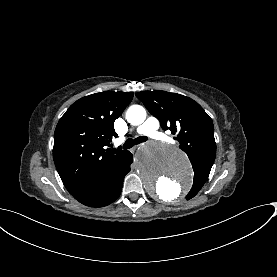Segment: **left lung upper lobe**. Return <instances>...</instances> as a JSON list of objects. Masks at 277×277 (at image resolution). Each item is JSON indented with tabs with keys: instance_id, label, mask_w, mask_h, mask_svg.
<instances>
[{
	"instance_id": "5c2ea615",
	"label": "left lung upper lobe",
	"mask_w": 277,
	"mask_h": 277,
	"mask_svg": "<svg viewBox=\"0 0 277 277\" xmlns=\"http://www.w3.org/2000/svg\"><path fill=\"white\" fill-rule=\"evenodd\" d=\"M148 111L157 117L164 130L178 132L180 143L194 170V181L187 199L193 198L207 180L216 155L212 119L189 97L166 91L136 93Z\"/></svg>"
}]
</instances>
